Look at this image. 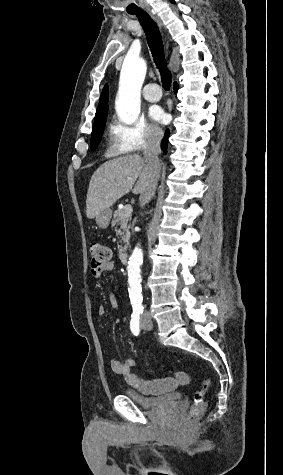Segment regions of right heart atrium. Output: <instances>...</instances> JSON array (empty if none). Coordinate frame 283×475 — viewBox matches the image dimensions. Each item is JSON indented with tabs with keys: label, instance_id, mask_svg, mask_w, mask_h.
<instances>
[{
	"label": "right heart atrium",
	"instance_id": "right-heart-atrium-1",
	"mask_svg": "<svg viewBox=\"0 0 283 475\" xmlns=\"http://www.w3.org/2000/svg\"><path fill=\"white\" fill-rule=\"evenodd\" d=\"M162 137L158 128L142 118L131 124L114 119L109 127L106 153L116 159L118 155H143L159 148Z\"/></svg>",
	"mask_w": 283,
	"mask_h": 475
}]
</instances>
